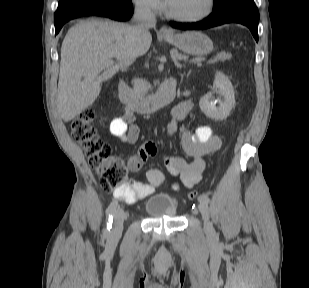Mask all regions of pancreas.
I'll list each match as a JSON object with an SVG mask.
<instances>
[{"mask_svg":"<svg viewBox=\"0 0 309 288\" xmlns=\"http://www.w3.org/2000/svg\"><path fill=\"white\" fill-rule=\"evenodd\" d=\"M172 54L177 55L180 59L185 58L184 55L177 54L175 50H172ZM230 58H231V54L222 52V53H219L213 59L209 60L208 63L214 64L219 61L223 62V61L229 60ZM149 88H150V84L146 80L144 79L134 80L133 92L137 98H140V99L143 98L148 92Z\"/></svg>","mask_w":309,"mask_h":288,"instance_id":"1","label":"pancreas"}]
</instances>
